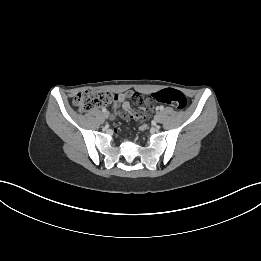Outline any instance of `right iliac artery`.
<instances>
[{
  "label": "right iliac artery",
  "mask_w": 261,
  "mask_h": 261,
  "mask_svg": "<svg viewBox=\"0 0 261 261\" xmlns=\"http://www.w3.org/2000/svg\"><path fill=\"white\" fill-rule=\"evenodd\" d=\"M106 111H107V110H106V108H102V112H104V113H105Z\"/></svg>",
  "instance_id": "right-iliac-artery-1"
}]
</instances>
